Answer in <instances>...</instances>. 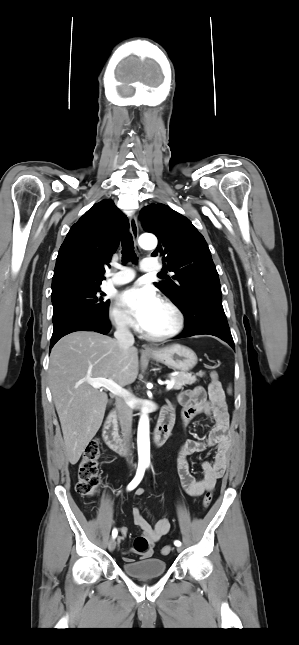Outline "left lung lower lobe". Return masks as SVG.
<instances>
[{
  "label": "left lung lower lobe",
  "instance_id": "left-lung-lower-lobe-1",
  "mask_svg": "<svg viewBox=\"0 0 299 645\" xmlns=\"http://www.w3.org/2000/svg\"><path fill=\"white\" fill-rule=\"evenodd\" d=\"M184 331L176 338L194 335H213L227 342L235 349L234 341L229 329L227 318L222 306V295H211L199 309L198 320L190 324L185 320Z\"/></svg>",
  "mask_w": 299,
  "mask_h": 645
}]
</instances>
